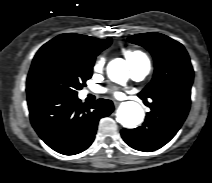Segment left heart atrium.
Returning a JSON list of instances; mask_svg holds the SVG:
<instances>
[{
    "label": "left heart atrium",
    "instance_id": "left-heart-atrium-1",
    "mask_svg": "<svg viewBox=\"0 0 212 183\" xmlns=\"http://www.w3.org/2000/svg\"><path fill=\"white\" fill-rule=\"evenodd\" d=\"M105 91H108L107 89ZM112 93L115 95V96H119L121 93L117 90H112Z\"/></svg>",
    "mask_w": 212,
    "mask_h": 183
}]
</instances>
